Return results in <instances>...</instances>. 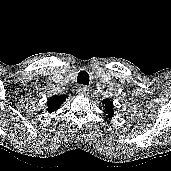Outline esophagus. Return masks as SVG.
Instances as JSON below:
<instances>
[{"instance_id":"obj_1","label":"esophagus","mask_w":171,"mask_h":171,"mask_svg":"<svg viewBox=\"0 0 171 171\" xmlns=\"http://www.w3.org/2000/svg\"><path fill=\"white\" fill-rule=\"evenodd\" d=\"M88 91H89V88L85 85H82L78 88V94L83 95V96L87 95Z\"/></svg>"}]
</instances>
